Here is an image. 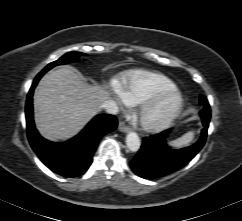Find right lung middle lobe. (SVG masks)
Listing matches in <instances>:
<instances>
[{
	"instance_id": "dd1d6c3e",
	"label": "right lung middle lobe",
	"mask_w": 242,
	"mask_h": 221,
	"mask_svg": "<svg viewBox=\"0 0 242 221\" xmlns=\"http://www.w3.org/2000/svg\"><path fill=\"white\" fill-rule=\"evenodd\" d=\"M81 52H69L66 53L64 56L59 58L57 61H54L47 65L41 72L46 73L48 70L53 68L54 66L60 65V64H67L73 61L78 60V58L82 55Z\"/></svg>"
}]
</instances>
